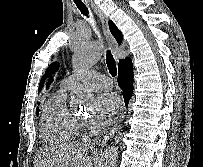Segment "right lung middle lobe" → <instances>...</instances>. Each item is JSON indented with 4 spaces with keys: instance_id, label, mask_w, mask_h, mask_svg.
I'll list each match as a JSON object with an SVG mask.
<instances>
[{
    "instance_id": "obj_1",
    "label": "right lung middle lobe",
    "mask_w": 203,
    "mask_h": 167,
    "mask_svg": "<svg viewBox=\"0 0 203 167\" xmlns=\"http://www.w3.org/2000/svg\"><path fill=\"white\" fill-rule=\"evenodd\" d=\"M38 112H39V108H37V114H38Z\"/></svg>"
}]
</instances>
